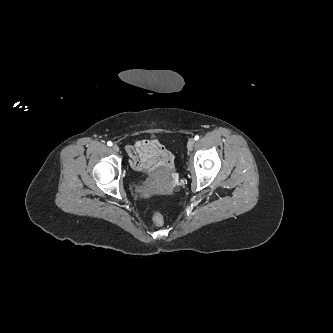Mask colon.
<instances>
[{
	"label": "colon",
	"mask_w": 333,
	"mask_h": 333,
	"mask_svg": "<svg viewBox=\"0 0 333 333\" xmlns=\"http://www.w3.org/2000/svg\"><path fill=\"white\" fill-rule=\"evenodd\" d=\"M153 223L156 227H162L164 225V218L161 213L157 212L154 214Z\"/></svg>",
	"instance_id": "obj_1"
}]
</instances>
